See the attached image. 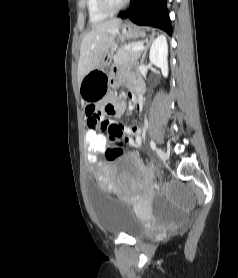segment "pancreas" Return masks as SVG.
Returning a JSON list of instances; mask_svg holds the SVG:
<instances>
[{
    "instance_id": "pancreas-1",
    "label": "pancreas",
    "mask_w": 238,
    "mask_h": 278,
    "mask_svg": "<svg viewBox=\"0 0 238 278\" xmlns=\"http://www.w3.org/2000/svg\"><path fill=\"white\" fill-rule=\"evenodd\" d=\"M131 48L126 45L120 47L114 55V65L136 61L140 51H132Z\"/></svg>"
}]
</instances>
